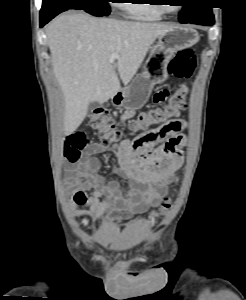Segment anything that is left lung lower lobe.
I'll use <instances>...</instances> for the list:
<instances>
[{
	"label": "left lung lower lobe",
	"instance_id": "left-lung-lower-lobe-1",
	"mask_svg": "<svg viewBox=\"0 0 246 300\" xmlns=\"http://www.w3.org/2000/svg\"><path fill=\"white\" fill-rule=\"evenodd\" d=\"M185 23H192V24H199V25L209 26V25H213L215 23V21H214L213 13L211 12V13L203 15L199 18L189 20Z\"/></svg>",
	"mask_w": 246,
	"mask_h": 300
}]
</instances>
